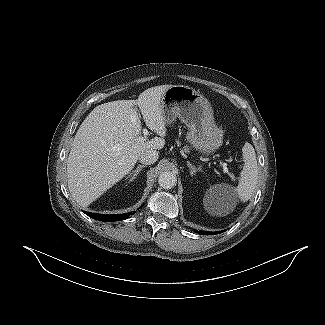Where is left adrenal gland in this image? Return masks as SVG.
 Wrapping results in <instances>:
<instances>
[{"label":"left adrenal gland","mask_w":325,"mask_h":325,"mask_svg":"<svg viewBox=\"0 0 325 325\" xmlns=\"http://www.w3.org/2000/svg\"><path fill=\"white\" fill-rule=\"evenodd\" d=\"M187 166L190 169V174L193 176L197 171H200L199 168H196L194 165H192L190 162H187Z\"/></svg>","instance_id":"obj_1"}]
</instances>
